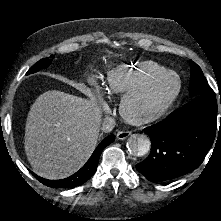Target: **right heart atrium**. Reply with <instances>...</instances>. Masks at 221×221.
Returning <instances> with one entry per match:
<instances>
[{
    "instance_id": "d8ad5b80",
    "label": "right heart atrium",
    "mask_w": 221,
    "mask_h": 221,
    "mask_svg": "<svg viewBox=\"0 0 221 221\" xmlns=\"http://www.w3.org/2000/svg\"><path fill=\"white\" fill-rule=\"evenodd\" d=\"M97 92H98V94L100 95V93H101V90H100L99 88H97Z\"/></svg>"
}]
</instances>
